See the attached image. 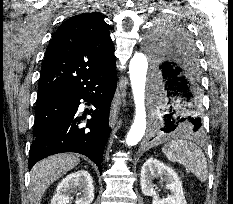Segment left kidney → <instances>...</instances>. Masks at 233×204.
<instances>
[{
	"label": "left kidney",
	"mask_w": 233,
	"mask_h": 204,
	"mask_svg": "<svg viewBox=\"0 0 233 204\" xmlns=\"http://www.w3.org/2000/svg\"><path fill=\"white\" fill-rule=\"evenodd\" d=\"M160 178L165 181L170 191L167 198H160L153 180ZM140 185L143 195L152 196V204H187L182 183L177 173L161 161L150 158L141 168Z\"/></svg>",
	"instance_id": "left-kidney-1"
}]
</instances>
